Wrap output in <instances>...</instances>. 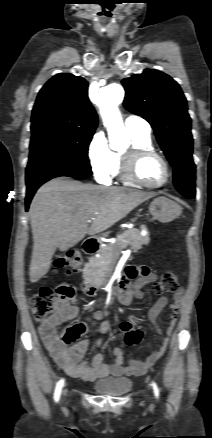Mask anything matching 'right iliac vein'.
<instances>
[{
  "mask_svg": "<svg viewBox=\"0 0 212 438\" xmlns=\"http://www.w3.org/2000/svg\"><path fill=\"white\" fill-rule=\"evenodd\" d=\"M64 395H66V391H64Z\"/></svg>",
  "mask_w": 212,
  "mask_h": 438,
  "instance_id": "right-iliac-vein-1",
  "label": "right iliac vein"
}]
</instances>
